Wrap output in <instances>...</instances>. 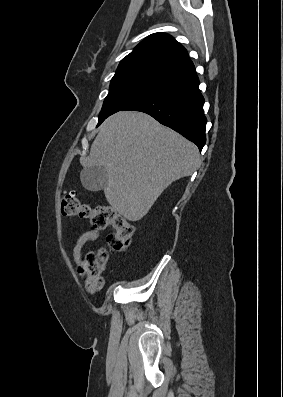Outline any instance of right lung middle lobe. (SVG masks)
Returning a JSON list of instances; mask_svg holds the SVG:
<instances>
[{"mask_svg":"<svg viewBox=\"0 0 283 397\" xmlns=\"http://www.w3.org/2000/svg\"><path fill=\"white\" fill-rule=\"evenodd\" d=\"M167 84L169 83L165 80L143 72L115 74L111 79L109 93L103 102L97 126L110 115Z\"/></svg>","mask_w":283,"mask_h":397,"instance_id":"dd1d6c3e","label":"right lung middle lobe"}]
</instances>
